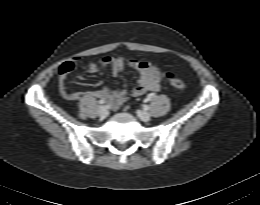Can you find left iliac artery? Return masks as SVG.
Here are the masks:
<instances>
[{
  "mask_svg": "<svg viewBox=\"0 0 260 205\" xmlns=\"http://www.w3.org/2000/svg\"><path fill=\"white\" fill-rule=\"evenodd\" d=\"M149 106L148 105H144V110H148Z\"/></svg>",
  "mask_w": 260,
  "mask_h": 205,
  "instance_id": "1",
  "label": "left iliac artery"
}]
</instances>
